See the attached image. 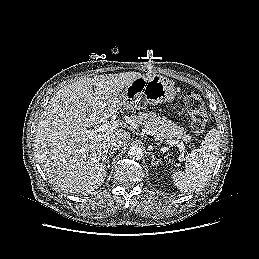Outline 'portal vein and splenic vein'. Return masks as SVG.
<instances>
[{"instance_id":"1","label":"portal vein and splenic vein","mask_w":259,"mask_h":259,"mask_svg":"<svg viewBox=\"0 0 259 259\" xmlns=\"http://www.w3.org/2000/svg\"><path fill=\"white\" fill-rule=\"evenodd\" d=\"M119 125H121L119 122L117 121H106L105 123H103L100 127L89 130V134L90 137L92 138L94 135H96L98 132H103V131H109L112 129H115L116 127H118ZM168 143L171 146H177L178 148L184 150L185 145L182 142L176 141V140H170L168 141Z\"/></svg>"}]
</instances>
